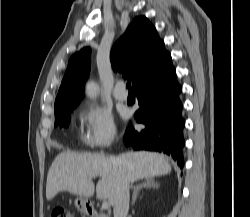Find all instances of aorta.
Returning a JSON list of instances; mask_svg holds the SVG:
<instances>
[{
	"mask_svg": "<svg viewBox=\"0 0 250 217\" xmlns=\"http://www.w3.org/2000/svg\"><path fill=\"white\" fill-rule=\"evenodd\" d=\"M99 92V86L94 81H89L86 85V95L88 98L95 100Z\"/></svg>",
	"mask_w": 250,
	"mask_h": 217,
	"instance_id": "762f6f07",
	"label": "aorta"
}]
</instances>
